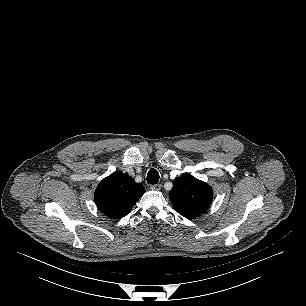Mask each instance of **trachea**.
Returning <instances> with one entry per match:
<instances>
[{"label":"trachea","instance_id":"1","mask_svg":"<svg viewBox=\"0 0 306 306\" xmlns=\"http://www.w3.org/2000/svg\"><path fill=\"white\" fill-rule=\"evenodd\" d=\"M159 181V173L155 169H150L148 174H147V182L149 184H157Z\"/></svg>","mask_w":306,"mask_h":306}]
</instances>
